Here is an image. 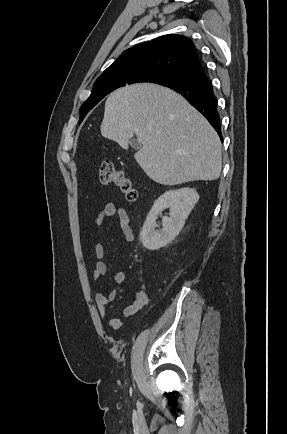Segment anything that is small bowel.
Listing matches in <instances>:
<instances>
[{
    "mask_svg": "<svg viewBox=\"0 0 287 434\" xmlns=\"http://www.w3.org/2000/svg\"><path fill=\"white\" fill-rule=\"evenodd\" d=\"M113 217H115L117 220L124 240L128 243L132 242L134 239V233L129 216L123 208L118 207L114 203H108L102 208V210L95 217L94 224L98 227L105 226ZM104 252L105 249L103 244H97L95 246L94 255L96 257V262L92 272V277L94 280H100L106 274L107 265L103 261ZM125 277L126 270L122 269L113 274V281L117 284H120L124 281ZM116 297L117 291L115 289L111 290L107 295L102 292H96L94 294V302L100 315L106 321V323L114 330H119L122 327L121 319L112 316L107 309V305L114 301ZM147 304L148 296L146 292L142 288L138 289L134 292L133 302L123 309L122 315L124 317L132 316L145 308Z\"/></svg>",
    "mask_w": 287,
    "mask_h": 434,
    "instance_id": "c3829d8e",
    "label": "small bowel"
}]
</instances>
